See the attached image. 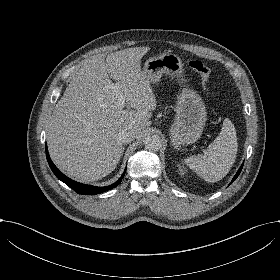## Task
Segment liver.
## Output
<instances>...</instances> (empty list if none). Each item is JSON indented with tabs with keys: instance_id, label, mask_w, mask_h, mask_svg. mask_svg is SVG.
<instances>
[{
	"instance_id": "1",
	"label": "liver",
	"mask_w": 280,
	"mask_h": 280,
	"mask_svg": "<svg viewBox=\"0 0 280 280\" xmlns=\"http://www.w3.org/2000/svg\"><path fill=\"white\" fill-rule=\"evenodd\" d=\"M148 50L110 53L106 65L102 55L89 58L72 76L53 111L48 146L54 164L68 177L89 183L107 176L124 152L118 132L131 131L139 139L151 125L156 103L139 63ZM120 95L133 109L120 108Z\"/></svg>"
}]
</instances>
